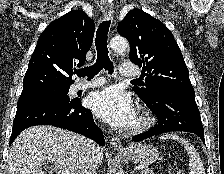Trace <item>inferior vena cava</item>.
Here are the masks:
<instances>
[{"label":"inferior vena cava","instance_id":"obj_1","mask_svg":"<svg viewBox=\"0 0 224 174\" xmlns=\"http://www.w3.org/2000/svg\"><path fill=\"white\" fill-rule=\"evenodd\" d=\"M83 150V164L80 167L79 174H97L95 158L100 151V147L94 141L87 139Z\"/></svg>","mask_w":224,"mask_h":174}]
</instances>
